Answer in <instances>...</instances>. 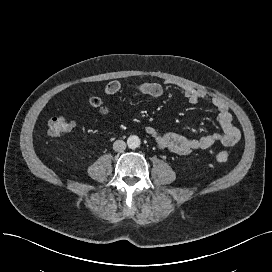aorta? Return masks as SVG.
Masks as SVG:
<instances>
[{
	"instance_id": "1",
	"label": "aorta",
	"mask_w": 272,
	"mask_h": 272,
	"mask_svg": "<svg viewBox=\"0 0 272 272\" xmlns=\"http://www.w3.org/2000/svg\"><path fill=\"white\" fill-rule=\"evenodd\" d=\"M127 144L131 149L138 148L140 146V138L136 135H131L127 139Z\"/></svg>"
}]
</instances>
